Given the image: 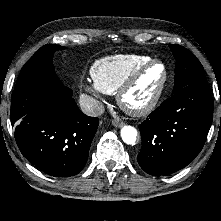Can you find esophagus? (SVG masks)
<instances>
[{"label": "esophagus", "instance_id": "obj_1", "mask_svg": "<svg viewBox=\"0 0 221 221\" xmlns=\"http://www.w3.org/2000/svg\"><path fill=\"white\" fill-rule=\"evenodd\" d=\"M123 121L119 120V119H114L112 120V125L115 127H122L123 126Z\"/></svg>", "mask_w": 221, "mask_h": 221}]
</instances>
